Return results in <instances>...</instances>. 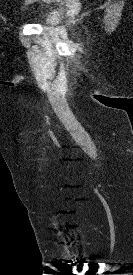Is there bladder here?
Returning <instances> with one entry per match:
<instances>
[{
	"label": "bladder",
	"mask_w": 133,
	"mask_h": 275,
	"mask_svg": "<svg viewBox=\"0 0 133 275\" xmlns=\"http://www.w3.org/2000/svg\"><path fill=\"white\" fill-rule=\"evenodd\" d=\"M61 17L62 14L57 9H50L45 15L44 23L46 25H55L59 22Z\"/></svg>",
	"instance_id": "31cf9c89"
}]
</instances>
